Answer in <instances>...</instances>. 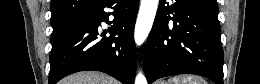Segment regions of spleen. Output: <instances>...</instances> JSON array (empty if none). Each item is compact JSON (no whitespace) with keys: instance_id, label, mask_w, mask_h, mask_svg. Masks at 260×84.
<instances>
[{"instance_id":"obj_1","label":"spleen","mask_w":260,"mask_h":84,"mask_svg":"<svg viewBox=\"0 0 260 84\" xmlns=\"http://www.w3.org/2000/svg\"><path fill=\"white\" fill-rule=\"evenodd\" d=\"M169 83L173 84H207V82L197 75H179L172 77Z\"/></svg>"}]
</instances>
